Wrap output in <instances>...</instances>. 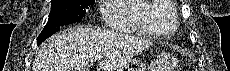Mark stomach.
<instances>
[{
	"label": "stomach",
	"instance_id": "0dacf381",
	"mask_svg": "<svg viewBox=\"0 0 230 71\" xmlns=\"http://www.w3.org/2000/svg\"><path fill=\"white\" fill-rule=\"evenodd\" d=\"M175 62L176 60L172 54L162 53L157 61V69L158 71H171L175 66ZM118 71H143V68L137 64H125Z\"/></svg>",
	"mask_w": 230,
	"mask_h": 71
}]
</instances>
